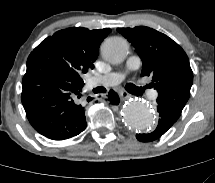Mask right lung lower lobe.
<instances>
[{
	"instance_id": "right-lung-lower-lobe-1",
	"label": "right lung lower lobe",
	"mask_w": 215,
	"mask_h": 183,
	"mask_svg": "<svg viewBox=\"0 0 215 183\" xmlns=\"http://www.w3.org/2000/svg\"><path fill=\"white\" fill-rule=\"evenodd\" d=\"M22 87V104L37 132L52 140H65L85 130L84 82L74 80L65 68L45 71L41 58L31 53ZM91 99L87 97L88 102ZM108 100L113 105L120 101L113 90Z\"/></svg>"
}]
</instances>
